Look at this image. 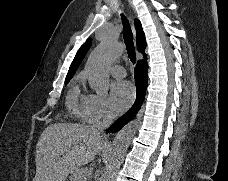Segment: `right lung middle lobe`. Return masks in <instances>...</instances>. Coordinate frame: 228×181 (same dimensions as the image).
Segmentation results:
<instances>
[{"label": "right lung middle lobe", "instance_id": "1", "mask_svg": "<svg viewBox=\"0 0 228 181\" xmlns=\"http://www.w3.org/2000/svg\"><path fill=\"white\" fill-rule=\"evenodd\" d=\"M69 82V80L65 81V83L67 84Z\"/></svg>", "mask_w": 228, "mask_h": 181}]
</instances>
